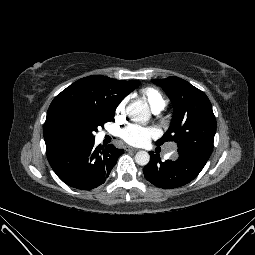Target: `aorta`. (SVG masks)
<instances>
[{
  "label": "aorta",
  "mask_w": 255,
  "mask_h": 255,
  "mask_svg": "<svg viewBox=\"0 0 255 255\" xmlns=\"http://www.w3.org/2000/svg\"><path fill=\"white\" fill-rule=\"evenodd\" d=\"M126 112L128 117L134 122L145 124L150 118L148 106L141 101L128 105ZM135 161L138 165L145 166L150 161V155L146 151H139L135 155Z\"/></svg>",
  "instance_id": "1"
}]
</instances>
